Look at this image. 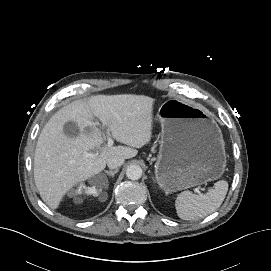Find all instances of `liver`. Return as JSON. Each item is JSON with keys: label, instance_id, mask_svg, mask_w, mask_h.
I'll return each instance as SVG.
<instances>
[{"label": "liver", "instance_id": "obj_1", "mask_svg": "<svg viewBox=\"0 0 271 271\" xmlns=\"http://www.w3.org/2000/svg\"><path fill=\"white\" fill-rule=\"evenodd\" d=\"M154 100L143 95H98L88 101H74L55 113L41 131L34 156V180L42 200L58 208L64 195L78 183L105 169L113 157L129 159L150 142ZM99 119L112 137L126 146H103ZM73 121L79 128L76 137L64 133ZM98 150L93 159L84 153Z\"/></svg>", "mask_w": 271, "mask_h": 271}]
</instances>
